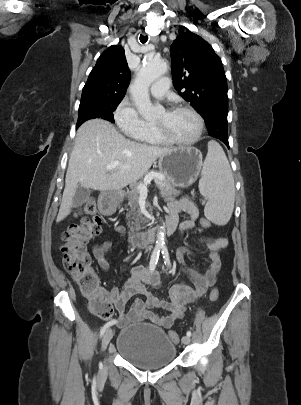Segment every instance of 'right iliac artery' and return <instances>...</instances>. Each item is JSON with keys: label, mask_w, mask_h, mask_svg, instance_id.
<instances>
[{"label": "right iliac artery", "mask_w": 301, "mask_h": 405, "mask_svg": "<svg viewBox=\"0 0 301 405\" xmlns=\"http://www.w3.org/2000/svg\"><path fill=\"white\" fill-rule=\"evenodd\" d=\"M160 250H161V247L156 246L155 249H154V251H153V253H152L151 260H150V264H149V269H150V271H153V270L155 269L156 265H157L158 258H159V254H160ZM114 324H116V320L109 321L108 323H106V324L101 328V331H100V338L104 335L106 329L109 328L110 326L114 325Z\"/></svg>", "instance_id": "right-iliac-artery-1"}]
</instances>
